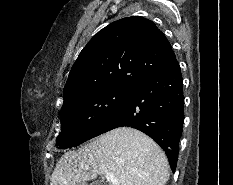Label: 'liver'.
<instances>
[{
  "label": "liver",
  "instance_id": "liver-1",
  "mask_svg": "<svg viewBox=\"0 0 233 185\" xmlns=\"http://www.w3.org/2000/svg\"><path fill=\"white\" fill-rule=\"evenodd\" d=\"M168 170V159L156 142L136 129L122 127L62 155L50 185H87V181L107 173L117 180L109 185H165Z\"/></svg>",
  "mask_w": 233,
  "mask_h": 185
}]
</instances>
